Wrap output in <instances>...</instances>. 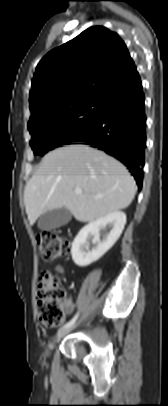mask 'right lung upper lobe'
<instances>
[{"label":"right lung upper lobe","mask_w":168,"mask_h":406,"mask_svg":"<svg viewBox=\"0 0 168 406\" xmlns=\"http://www.w3.org/2000/svg\"><path fill=\"white\" fill-rule=\"evenodd\" d=\"M123 40L93 26L39 62L30 91L32 123L81 101L100 99L138 77Z\"/></svg>","instance_id":"cb5924a9"}]
</instances>
